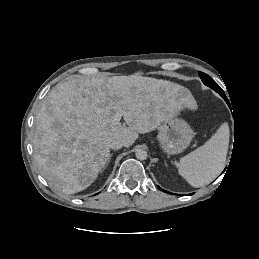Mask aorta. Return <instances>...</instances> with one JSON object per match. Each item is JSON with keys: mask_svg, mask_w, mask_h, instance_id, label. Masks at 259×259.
Returning <instances> with one entry per match:
<instances>
[{"mask_svg": "<svg viewBox=\"0 0 259 259\" xmlns=\"http://www.w3.org/2000/svg\"><path fill=\"white\" fill-rule=\"evenodd\" d=\"M135 156L139 160H145L147 158V152L144 149H137Z\"/></svg>", "mask_w": 259, "mask_h": 259, "instance_id": "aorta-1", "label": "aorta"}]
</instances>
